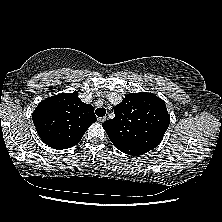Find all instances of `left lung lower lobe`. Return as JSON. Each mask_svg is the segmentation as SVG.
Here are the masks:
<instances>
[{"mask_svg": "<svg viewBox=\"0 0 222 222\" xmlns=\"http://www.w3.org/2000/svg\"><path fill=\"white\" fill-rule=\"evenodd\" d=\"M119 150L128 154V155H133V156L142 155V154L148 152V150H145L142 148H121Z\"/></svg>", "mask_w": 222, "mask_h": 222, "instance_id": "1", "label": "left lung lower lobe"}]
</instances>
